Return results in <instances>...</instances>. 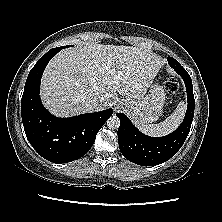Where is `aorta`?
Instances as JSON below:
<instances>
[{
  "mask_svg": "<svg viewBox=\"0 0 222 222\" xmlns=\"http://www.w3.org/2000/svg\"><path fill=\"white\" fill-rule=\"evenodd\" d=\"M107 126L109 129L115 130L120 126V120L117 116H112L107 120Z\"/></svg>",
  "mask_w": 222,
  "mask_h": 222,
  "instance_id": "aorta-1",
  "label": "aorta"
}]
</instances>
